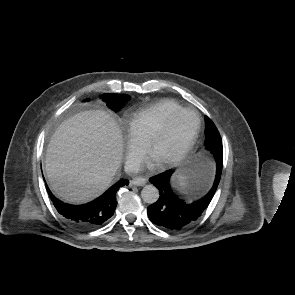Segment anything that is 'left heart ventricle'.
I'll return each instance as SVG.
<instances>
[{"instance_id":"b2bd125f","label":"left heart ventricle","mask_w":295,"mask_h":295,"mask_svg":"<svg viewBox=\"0 0 295 295\" xmlns=\"http://www.w3.org/2000/svg\"><path fill=\"white\" fill-rule=\"evenodd\" d=\"M195 126L192 115L180 116L172 125L169 132L159 142L152 153V160L156 163L175 156L186 144Z\"/></svg>"}]
</instances>
